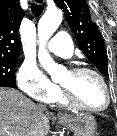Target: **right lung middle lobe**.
Segmentation results:
<instances>
[{
	"label": "right lung middle lobe",
	"instance_id": "right-lung-middle-lobe-1",
	"mask_svg": "<svg viewBox=\"0 0 117 136\" xmlns=\"http://www.w3.org/2000/svg\"><path fill=\"white\" fill-rule=\"evenodd\" d=\"M18 58H0V83L16 84L15 72Z\"/></svg>",
	"mask_w": 117,
	"mask_h": 136
}]
</instances>
